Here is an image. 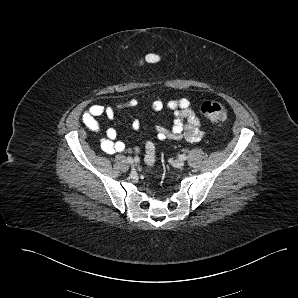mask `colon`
<instances>
[{
    "label": "colon",
    "instance_id": "colon-1",
    "mask_svg": "<svg viewBox=\"0 0 298 298\" xmlns=\"http://www.w3.org/2000/svg\"><path fill=\"white\" fill-rule=\"evenodd\" d=\"M145 61L154 63L157 61V57L155 54L151 53L145 57ZM201 112L205 116V118L216 124L224 123L228 117L227 108L222 103L216 101H205L201 105ZM155 159V146L153 143L148 142L146 144L145 162L147 165H153L155 163Z\"/></svg>",
    "mask_w": 298,
    "mask_h": 298
}]
</instances>
